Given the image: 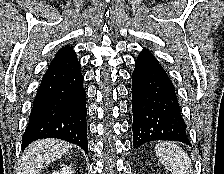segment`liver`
<instances>
[{"instance_id": "obj_1", "label": "liver", "mask_w": 224, "mask_h": 174, "mask_svg": "<svg viewBox=\"0 0 224 174\" xmlns=\"http://www.w3.org/2000/svg\"><path fill=\"white\" fill-rule=\"evenodd\" d=\"M71 148L70 143L58 139L34 141L27 146L20 157L18 174H38L43 167L67 154Z\"/></svg>"}]
</instances>
